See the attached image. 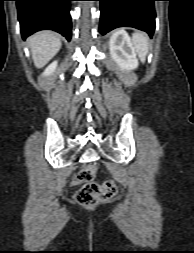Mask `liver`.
<instances>
[{
    "instance_id": "1",
    "label": "liver",
    "mask_w": 194,
    "mask_h": 253,
    "mask_svg": "<svg viewBox=\"0 0 194 253\" xmlns=\"http://www.w3.org/2000/svg\"><path fill=\"white\" fill-rule=\"evenodd\" d=\"M32 59L36 68L45 66L60 50L61 40L58 34L51 31H41L28 40Z\"/></svg>"
}]
</instances>
